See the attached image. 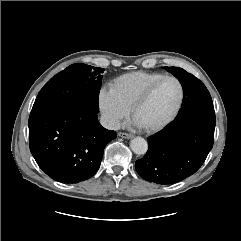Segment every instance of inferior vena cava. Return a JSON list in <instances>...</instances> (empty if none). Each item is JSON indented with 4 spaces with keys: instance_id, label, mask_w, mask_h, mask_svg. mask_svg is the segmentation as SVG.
Wrapping results in <instances>:
<instances>
[{
    "instance_id": "1",
    "label": "inferior vena cava",
    "mask_w": 241,
    "mask_h": 241,
    "mask_svg": "<svg viewBox=\"0 0 241 241\" xmlns=\"http://www.w3.org/2000/svg\"><path fill=\"white\" fill-rule=\"evenodd\" d=\"M100 123L104 128L109 130L120 129V122L117 119L106 114L101 115Z\"/></svg>"
}]
</instances>
